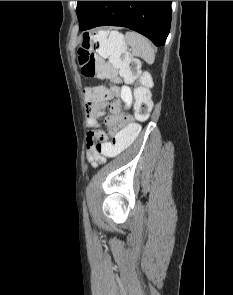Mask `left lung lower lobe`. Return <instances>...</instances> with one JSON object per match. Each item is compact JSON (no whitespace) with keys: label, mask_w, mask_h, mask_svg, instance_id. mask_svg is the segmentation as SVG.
<instances>
[{"label":"left lung lower lobe","mask_w":233,"mask_h":295,"mask_svg":"<svg viewBox=\"0 0 233 295\" xmlns=\"http://www.w3.org/2000/svg\"><path fill=\"white\" fill-rule=\"evenodd\" d=\"M172 1H98L81 31L102 25L127 27L164 45L171 24Z\"/></svg>","instance_id":"obj_1"}]
</instances>
